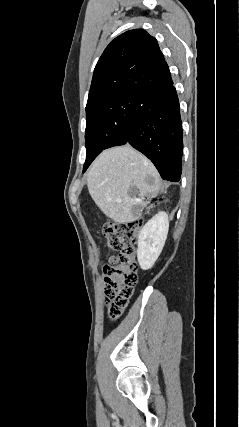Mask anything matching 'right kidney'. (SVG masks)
<instances>
[{
  "label": "right kidney",
  "instance_id": "obj_1",
  "mask_svg": "<svg viewBox=\"0 0 239 427\" xmlns=\"http://www.w3.org/2000/svg\"><path fill=\"white\" fill-rule=\"evenodd\" d=\"M169 230L166 212H159L141 229L138 236L137 259L141 269L152 268L159 257Z\"/></svg>",
  "mask_w": 239,
  "mask_h": 427
}]
</instances>
